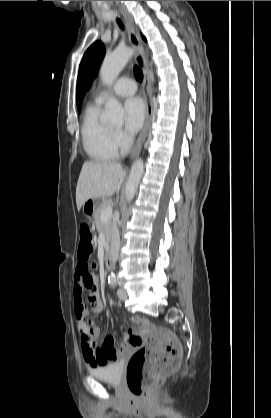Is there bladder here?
<instances>
[{"label": "bladder", "mask_w": 271, "mask_h": 418, "mask_svg": "<svg viewBox=\"0 0 271 418\" xmlns=\"http://www.w3.org/2000/svg\"><path fill=\"white\" fill-rule=\"evenodd\" d=\"M89 373L104 382L119 384L122 380L123 363L121 361L109 362L99 367H93Z\"/></svg>", "instance_id": "31cf9c89"}]
</instances>
